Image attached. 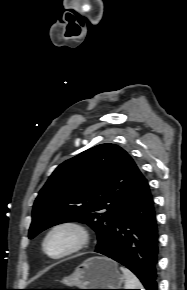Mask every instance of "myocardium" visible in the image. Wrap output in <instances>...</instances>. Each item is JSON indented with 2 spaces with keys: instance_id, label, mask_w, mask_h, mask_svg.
<instances>
[{
  "instance_id": "myocardium-1",
  "label": "myocardium",
  "mask_w": 187,
  "mask_h": 290,
  "mask_svg": "<svg viewBox=\"0 0 187 290\" xmlns=\"http://www.w3.org/2000/svg\"><path fill=\"white\" fill-rule=\"evenodd\" d=\"M61 230L71 232L75 237L74 243L68 249L59 254H51L47 250L48 240L53 234ZM89 242L90 232L83 223L77 220H63L55 223L48 229L43 238L42 249L49 258L62 259L81 251L89 244Z\"/></svg>"
}]
</instances>
